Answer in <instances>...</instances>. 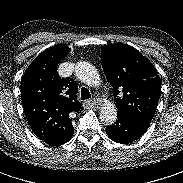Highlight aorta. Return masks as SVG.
Segmentation results:
<instances>
[{
	"label": "aorta",
	"mask_w": 183,
	"mask_h": 183,
	"mask_svg": "<svg viewBox=\"0 0 183 183\" xmlns=\"http://www.w3.org/2000/svg\"><path fill=\"white\" fill-rule=\"evenodd\" d=\"M75 74L79 80L89 86H97L100 83V75L92 64L80 61L76 64ZM100 120L105 124H113L117 119V108L114 103L106 102L100 109Z\"/></svg>",
	"instance_id": "aorta-1"
}]
</instances>
